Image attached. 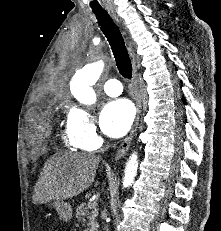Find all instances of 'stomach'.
I'll return each instance as SVG.
<instances>
[{"mask_svg": "<svg viewBox=\"0 0 221 231\" xmlns=\"http://www.w3.org/2000/svg\"><path fill=\"white\" fill-rule=\"evenodd\" d=\"M47 206L49 208H54L59 217L63 220V221H69L72 218V207L68 202L65 201H54V202H48Z\"/></svg>", "mask_w": 221, "mask_h": 231, "instance_id": "0dacf381", "label": "stomach"}]
</instances>
